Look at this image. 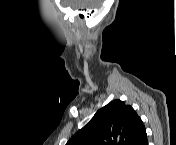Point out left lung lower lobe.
I'll use <instances>...</instances> for the list:
<instances>
[{"label":"left lung lower lobe","instance_id":"obj_1","mask_svg":"<svg viewBox=\"0 0 176 145\" xmlns=\"http://www.w3.org/2000/svg\"><path fill=\"white\" fill-rule=\"evenodd\" d=\"M137 145H148L146 132L142 135Z\"/></svg>","mask_w":176,"mask_h":145}]
</instances>
